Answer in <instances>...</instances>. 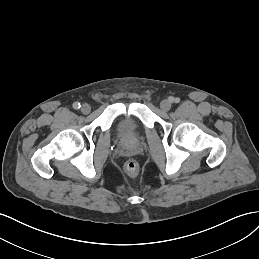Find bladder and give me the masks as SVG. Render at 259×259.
I'll list each match as a JSON object with an SVG mask.
<instances>
[{
  "label": "bladder",
  "mask_w": 259,
  "mask_h": 259,
  "mask_svg": "<svg viewBox=\"0 0 259 259\" xmlns=\"http://www.w3.org/2000/svg\"><path fill=\"white\" fill-rule=\"evenodd\" d=\"M117 131L121 138L131 140L137 135V124L130 117L122 118L118 123Z\"/></svg>",
  "instance_id": "31cf9c89"
}]
</instances>
